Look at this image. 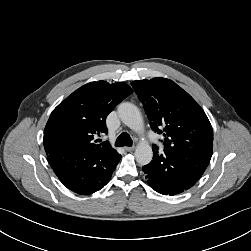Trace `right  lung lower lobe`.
Listing matches in <instances>:
<instances>
[{
	"label": "right lung lower lobe",
	"mask_w": 251,
	"mask_h": 251,
	"mask_svg": "<svg viewBox=\"0 0 251 251\" xmlns=\"http://www.w3.org/2000/svg\"><path fill=\"white\" fill-rule=\"evenodd\" d=\"M121 155L106 165L101 155L64 147L47 153V160L60 181L78 194H92L110 180Z\"/></svg>",
	"instance_id": "98d812e1"
}]
</instances>
